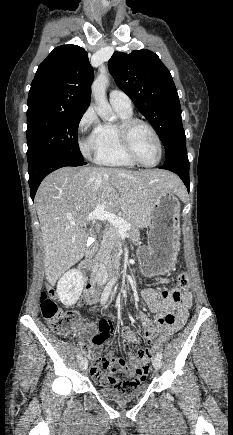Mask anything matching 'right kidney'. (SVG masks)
Wrapping results in <instances>:
<instances>
[{"label":"right kidney","mask_w":233,"mask_h":435,"mask_svg":"<svg viewBox=\"0 0 233 435\" xmlns=\"http://www.w3.org/2000/svg\"><path fill=\"white\" fill-rule=\"evenodd\" d=\"M84 279L80 271L71 269L67 271L57 283V294L59 300L65 306L74 305L83 290Z\"/></svg>","instance_id":"obj_1"}]
</instances>
